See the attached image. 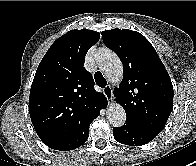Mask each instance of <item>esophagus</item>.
<instances>
[{
  "label": "esophagus",
  "mask_w": 196,
  "mask_h": 166,
  "mask_svg": "<svg viewBox=\"0 0 196 166\" xmlns=\"http://www.w3.org/2000/svg\"><path fill=\"white\" fill-rule=\"evenodd\" d=\"M104 93H105L106 97L108 98L109 102L112 101V99H113V93H112V88H111L110 85H107L104 88Z\"/></svg>",
  "instance_id": "1"
}]
</instances>
